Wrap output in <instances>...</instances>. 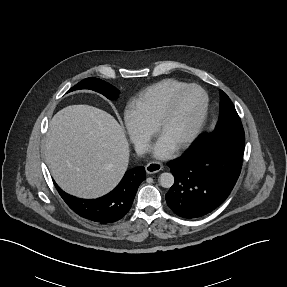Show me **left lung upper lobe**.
<instances>
[{"label":"left lung upper lobe","mask_w":287,"mask_h":287,"mask_svg":"<svg viewBox=\"0 0 287 287\" xmlns=\"http://www.w3.org/2000/svg\"><path fill=\"white\" fill-rule=\"evenodd\" d=\"M209 139L217 140L232 137L245 140L244 129L231 100L222 90H220V114L216 129L210 135H205Z\"/></svg>","instance_id":"obj_1"}]
</instances>
